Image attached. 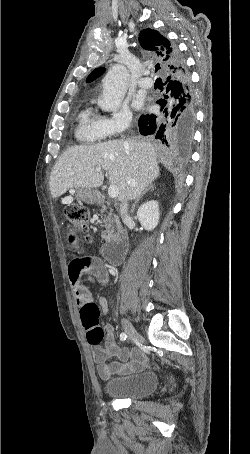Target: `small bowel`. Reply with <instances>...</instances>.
I'll return each instance as SVG.
<instances>
[{
	"mask_svg": "<svg viewBox=\"0 0 250 454\" xmlns=\"http://www.w3.org/2000/svg\"><path fill=\"white\" fill-rule=\"evenodd\" d=\"M75 237L68 233V243H71ZM78 249V248H74ZM67 275L70 281L75 302L79 307L85 304L93 303V297L88 288L83 283L86 281L98 280L105 283L108 279V271L103 261L97 257H84L72 259L67 268ZM103 313L108 312V304L104 297L99 300ZM93 360L96 363L98 375L102 379H109L115 374L137 371L145 366L147 358L144 353L138 349L127 350L120 348L114 335V329L111 325L105 326V341L103 346L94 345L92 349ZM112 358L117 361L111 362Z\"/></svg>",
	"mask_w": 250,
	"mask_h": 454,
	"instance_id": "c3829d8e",
	"label": "small bowel"
}]
</instances>
